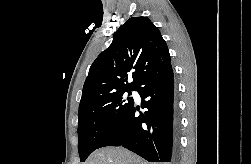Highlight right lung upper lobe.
<instances>
[{
	"label": "right lung upper lobe",
	"instance_id": "1",
	"mask_svg": "<svg viewBox=\"0 0 251 164\" xmlns=\"http://www.w3.org/2000/svg\"><path fill=\"white\" fill-rule=\"evenodd\" d=\"M170 61L167 45L151 21L146 17L128 19L91 65L79 108L104 95L137 89L147 75ZM130 76L133 81L128 83Z\"/></svg>",
	"mask_w": 251,
	"mask_h": 164
}]
</instances>
